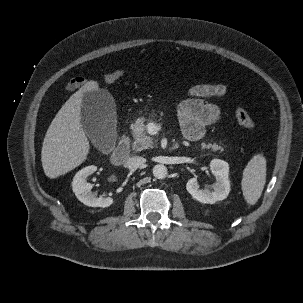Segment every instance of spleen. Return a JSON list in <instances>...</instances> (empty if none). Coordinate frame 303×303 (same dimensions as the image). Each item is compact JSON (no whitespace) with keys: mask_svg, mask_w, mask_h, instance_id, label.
Here are the masks:
<instances>
[{"mask_svg":"<svg viewBox=\"0 0 303 303\" xmlns=\"http://www.w3.org/2000/svg\"><path fill=\"white\" fill-rule=\"evenodd\" d=\"M266 182V159L256 154L243 171L241 187L243 196L249 205H254L260 198Z\"/></svg>","mask_w":303,"mask_h":303,"instance_id":"spleen-1","label":"spleen"}]
</instances>
